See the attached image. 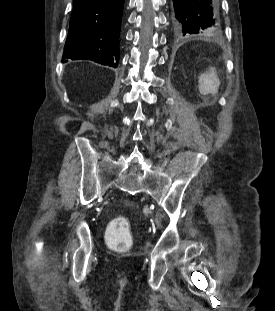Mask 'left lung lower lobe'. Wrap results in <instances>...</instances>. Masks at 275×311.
Listing matches in <instances>:
<instances>
[{"instance_id":"obj_1","label":"left lung lower lobe","mask_w":275,"mask_h":311,"mask_svg":"<svg viewBox=\"0 0 275 311\" xmlns=\"http://www.w3.org/2000/svg\"><path fill=\"white\" fill-rule=\"evenodd\" d=\"M172 1V26L175 37L210 34L220 30L217 0Z\"/></svg>"}]
</instances>
